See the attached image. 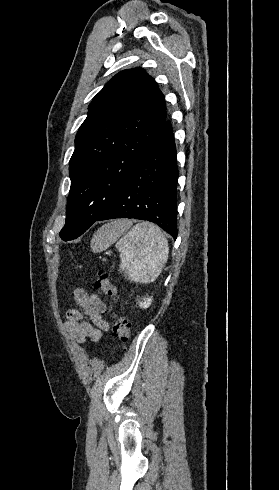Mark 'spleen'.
Masks as SVG:
<instances>
[{"instance_id":"3e777b00","label":"spleen","mask_w":279,"mask_h":490,"mask_svg":"<svg viewBox=\"0 0 279 490\" xmlns=\"http://www.w3.org/2000/svg\"><path fill=\"white\" fill-rule=\"evenodd\" d=\"M131 226L128 220L104 224L94 236L92 252H104L123 236L116 244L120 252L121 272H126L132 282L151 284L160 276L168 260V242L155 224L142 222L133 228Z\"/></svg>"}]
</instances>
